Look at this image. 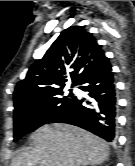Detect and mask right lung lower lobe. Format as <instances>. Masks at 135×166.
I'll return each mask as SVG.
<instances>
[{
	"instance_id": "1",
	"label": "right lung lower lobe",
	"mask_w": 135,
	"mask_h": 166,
	"mask_svg": "<svg viewBox=\"0 0 135 166\" xmlns=\"http://www.w3.org/2000/svg\"><path fill=\"white\" fill-rule=\"evenodd\" d=\"M76 85L88 91L92 102L83 105L85 99L74 98L72 104L53 122L68 123L84 128L111 142L115 138L117 98L112 68L106 59L85 74Z\"/></svg>"
}]
</instances>
